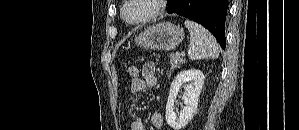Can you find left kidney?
I'll return each mask as SVG.
<instances>
[{"label": "left kidney", "mask_w": 299, "mask_h": 130, "mask_svg": "<svg viewBox=\"0 0 299 130\" xmlns=\"http://www.w3.org/2000/svg\"><path fill=\"white\" fill-rule=\"evenodd\" d=\"M204 79L205 77L200 70L190 69L181 71L172 82L166 104L165 117L168 125L174 130H181L193 118L198 106ZM183 84H185L186 89L183 95L184 107L177 115L174 112V103Z\"/></svg>", "instance_id": "1"}]
</instances>
